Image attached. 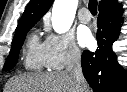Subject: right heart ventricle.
I'll list each match as a JSON object with an SVG mask.
<instances>
[{
    "label": "right heart ventricle",
    "mask_w": 127,
    "mask_h": 92,
    "mask_svg": "<svg viewBox=\"0 0 127 92\" xmlns=\"http://www.w3.org/2000/svg\"><path fill=\"white\" fill-rule=\"evenodd\" d=\"M23 64L26 69L37 72L46 67L43 60L42 43L39 42L35 33L27 40Z\"/></svg>",
    "instance_id": "obj_1"
}]
</instances>
